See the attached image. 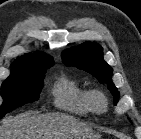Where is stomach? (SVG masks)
Segmentation results:
<instances>
[{"instance_id": "obj_1", "label": "stomach", "mask_w": 141, "mask_h": 139, "mask_svg": "<svg viewBox=\"0 0 141 139\" xmlns=\"http://www.w3.org/2000/svg\"><path fill=\"white\" fill-rule=\"evenodd\" d=\"M74 139H101V137L93 131L79 134Z\"/></svg>"}]
</instances>
